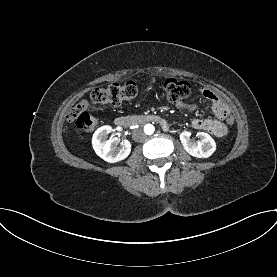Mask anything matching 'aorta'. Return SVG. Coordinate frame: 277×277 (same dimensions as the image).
<instances>
[{"label":"aorta","mask_w":277,"mask_h":277,"mask_svg":"<svg viewBox=\"0 0 277 277\" xmlns=\"http://www.w3.org/2000/svg\"><path fill=\"white\" fill-rule=\"evenodd\" d=\"M155 131V127L152 124H146L144 126V133L147 135L153 134Z\"/></svg>","instance_id":"1"}]
</instances>
